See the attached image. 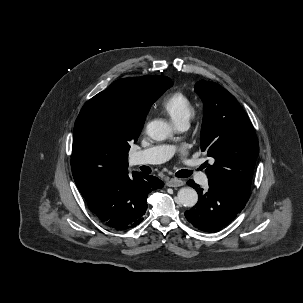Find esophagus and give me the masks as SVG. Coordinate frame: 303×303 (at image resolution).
Here are the masks:
<instances>
[{
    "label": "esophagus",
    "instance_id": "34e87169",
    "mask_svg": "<svg viewBox=\"0 0 303 303\" xmlns=\"http://www.w3.org/2000/svg\"><path fill=\"white\" fill-rule=\"evenodd\" d=\"M166 185L168 187H180L184 185V181L178 178H171L166 181Z\"/></svg>",
    "mask_w": 303,
    "mask_h": 303
}]
</instances>
